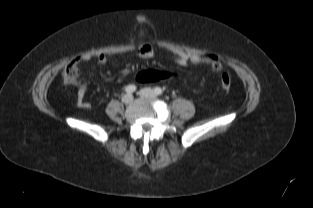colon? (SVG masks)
I'll use <instances>...</instances> for the list:
<instances>
[{
	"instance_id": "5ec220e1",
	"label": "colon",
	"mask_w": 313,
	"mask_h": 208,
	"mask_svg": "<svg viewBox=\"0 0 313 208\" xmlns=\"http://www.w3.org/2000/svg\"><path fill=\"white\" fill-rule=\"evenodd\" d=\"M207 60L208 64L212 68L214 72H220L222 69L221 63L217 56L213 54H207L204 56ZM175 75L169 71H162L156 69H148L139 72L136 75V80L141 83H151V82H158L164 80L173 79ZM64 82L67 85L78 86L81 85V78L78 71V68L75 64H71L67 67L64 73ZM220 86L223 90L227 91L231 87V78L228 74L223 73L220 77Z\"/></svg>"
}]
</instances>
